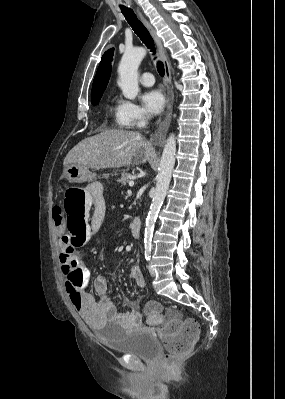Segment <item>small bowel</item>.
Returning a JSON list of instances; mask_svg holds the SVG:
<instances>
[{
	"mask_svg": "<svg viewBox=\"0 0 285 399\" xmlns=\"http://www.w3.org/2000/svg\"><path fill=\"white\" fill-rule=\"evenodd\" d=\"M86 199L85 210L92 211L90 216V224L92 232L97 233L104 222L106 206L103 196V189L101 184H92L87 190L83 192ZM53 214L57 216L60 221L57 223L60 231V243L65 248L68 241V234L65 233V226L63 221V211L61 208L54 209ZM62 255V252L60 256ZM73 276L75 280L81 281L83 286L82 302L79 306L74 305L79 315L89 325L111 323L118 328L120 332H127L131 329L145 327L143 323V316L139 311L140 296L133 300H125L123 302L126 312L118 311V308L109 295V286L104 276L97 277L94 283L95 292L98 296L96 299L89 291L85 289V284L90 278V270L79 264L73 269ZM130 277L134 283L143 288L145 286V279L141 269L134 266L130 270ZM158 321L154 319V323Z\"/></svg>",
	"mask_w": 285,
	"mask_h": 399,
	"instance_id": "small-bowel-1",
	"label": "small bowel"
}]
</instances>
